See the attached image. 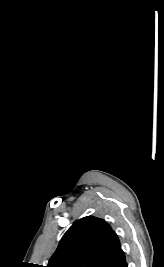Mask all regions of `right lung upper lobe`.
Instances as JSON below:
<instances>
[{"label":"right lung upper lobe","mask_w":164,"mask_h":267,"mask_svg":"<svg viewBox=\"0 0 164 267\" xmlns=\"http://www.w3.org/2000/svg\"><path fill=\"white\" fill-rule=\"evenodd\" d=\"M119 250V239L110 225L87 216L64 234L47 267H99Z\"/></svg>","instance_id":"right-lung-upper-lobe-1"}]
</instances>
